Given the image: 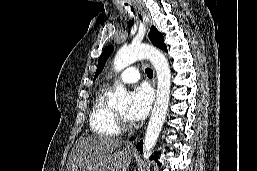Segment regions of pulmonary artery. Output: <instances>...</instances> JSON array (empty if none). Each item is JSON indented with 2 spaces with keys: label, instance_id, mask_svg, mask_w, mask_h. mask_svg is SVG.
<instances>
[{
  "label": "pulmonary artery",
  "instance_id": "e3ab8cb5",
  "mask_svg": "<svg viewBox=\"0 0 257 171\" xmlns=\"http://www.w3.org/2000/svg\"><path fill=\"white\" fill-rule=\"evenodd\" d=\"M140 80V71L138 68L134 66H130L126 68L119 76L118 81L125 83V84H131L136 83Z\"/></svg>",
  "mask_w": 257,
  "mask_h": 171
}]
</instances>
